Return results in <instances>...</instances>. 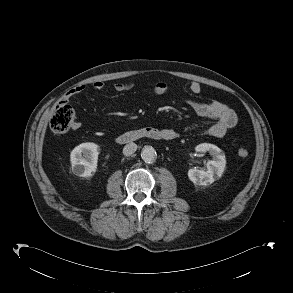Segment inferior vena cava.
<instances>
[{
  "label": "inferior vena cava",
  "instance_id": "1",
  "mask_svg": "<svg viewBox=\"0 0 293 293\" xmlns=\"http://www.w3.org/2000/svg\"><path fill=\"white\" fill-rule=\"evenodd\" d=\"M137 150V145L133 142L127 144L123 148V154L125 156H130L132 155L135 151Z\"/></svg>",
  "mask_w": 293,
  "mask_h": 293
}]
</instances>
